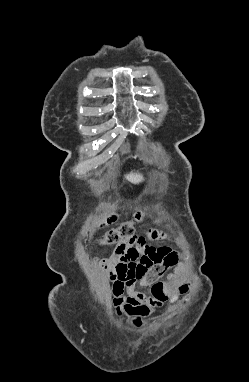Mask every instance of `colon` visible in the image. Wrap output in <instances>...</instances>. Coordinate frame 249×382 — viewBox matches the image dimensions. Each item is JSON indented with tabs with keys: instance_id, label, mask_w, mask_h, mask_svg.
Instances as JSON below:
<instances>
[{
	"instance_id": "colon-1",
	"label": "colon",
	"mask_w": 249,
	"mask_h": 382,
	"mask_svg": "<svg viewBox=\"0 0 249 382\" xmlns=\"http://www.w3.org/2000/svg\"><path fill=\"white\" fill-rule=\"evenodd\" d=\"M144 219V212L135 214L132 221L122 222L118 227L106 232L102 239L103 244H114L125 240L135 241L136 235L134 223ZM136 241H142L137 239ZM144 250L143 258L138 266H132L130 276L138 277L139 282H154L166 275V271H172L178 267V254L171 249L165 251L162 248H141ZM144 273V275H141ZM152 298H160L161 302L166 298V290L162 283L156 282L151 289Z\"/></svg>"
}]
</instances>
